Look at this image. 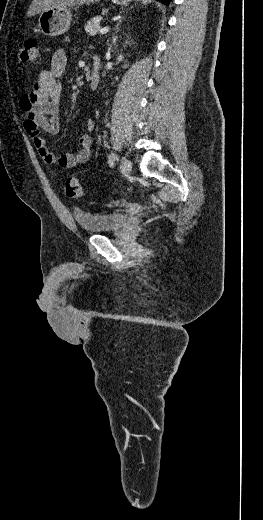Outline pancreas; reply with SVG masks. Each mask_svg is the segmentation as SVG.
I'll list each match as a JSON object with an SVG mask.
<instances>
[{
  "label": "pancreas",
  "instance_id": "obj_1",
  "mask_svg": "<svg viewBox=\"0 0 263 520\" xmlns=\"http://www.w3.org/2000/svg\"><path fill=\"white\" fill-rule=\"evenodd\" d=\"M101 20H102L101 16H95L92 19H90L89 21H87V23L84 26L85 31L91 36L95 35L97 32L100 31V21Z\"/></svg>",
  "mask_w": 263,
  "mask_h": 520
}]
</instances>
